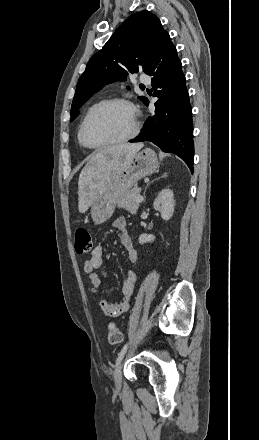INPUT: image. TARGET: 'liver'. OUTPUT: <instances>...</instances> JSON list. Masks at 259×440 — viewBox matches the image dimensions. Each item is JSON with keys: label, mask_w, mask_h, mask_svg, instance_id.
Returning <instances> with one entry per match:
<instances>
[{"label": "liver", "mask_w": 259, "mask_h": 440, "mask_svg": "<svg viewBox=\"0 0 259 440\" xmlns=\"http://www.w3.org/2000/svg\"><path fill=\"white\" fill-rule=\"evenodd\" d=\"M143 147L142 143H124L97 152L79 175L78 210L84 213L106 191L112 178L121 172Z\"/></svg>", "instance_id": "1"}]
</instances>
